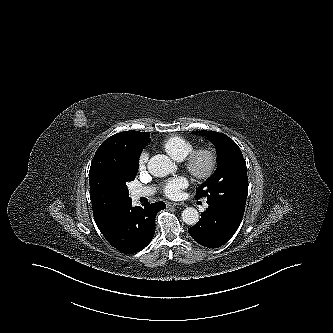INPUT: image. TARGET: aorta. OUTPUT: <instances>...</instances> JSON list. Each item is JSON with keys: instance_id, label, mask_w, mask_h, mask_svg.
Instances as JSON below:
<instances>
[{"instance_id": "1", "label": "aorta", "mask_w": 333, "mask_h": 333, "mask_svg": "<svg viewBox=\"0 0 333 333\" xmlns=\"http://www.w3.org/2000/svg\"><path fill=\"white\" fill-rule=\"evenodd\" d=\"M177 170V166L173 164L166 155L158 154L150 158L148 162V171L155 177H165ZM182 220L187 225H195L199 221V213L193 207H187L181 214Z\"/></svg>"}]
</instances>
